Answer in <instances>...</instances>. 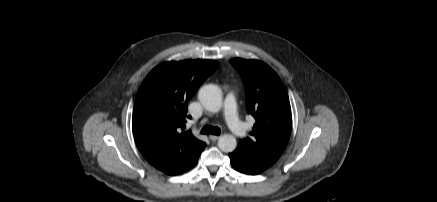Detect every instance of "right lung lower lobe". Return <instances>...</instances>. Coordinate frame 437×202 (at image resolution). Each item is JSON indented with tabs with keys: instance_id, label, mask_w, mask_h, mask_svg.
Listing matches in <instances>:
<instances>
[{
	"instance_id": "right-lung-lower-lobe-1",
	"label": "right lung lower lobe",
	"mask_w": 437,
	"mask_h": 202,
	"mask_svg": "<svg viewBox=\"0 0 437 202\" xmlns=\"http://www.w3.org/2000/svg\"><path fill=\"white\" fill-rule=\"evenodd\" d=\"M201 154V153H200ZM200 154H198L190 163H188L187 165H185L181 170H179L177 173H175L174 175H178L181 174L187 170H189L190 168H192L198 161V158L200 156Z\"/></svg>"
}]
</instances>
